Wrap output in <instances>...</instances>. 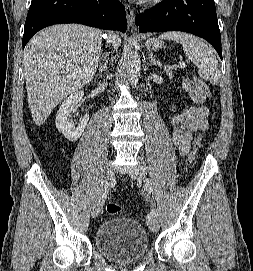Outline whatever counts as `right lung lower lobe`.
Listing matches in <instances>:
<instances>
[{"instance_id": "right-lung-lower-lobe-1", "label": "right lung lower lobe", "mask_w": 253, "mask_h": 271, "mask_svg": "<svg viewBox=\"0 0 253 271\" xmlns=\"http://www.w3.org/2000/svg\"><path fill=\"white\" fill-rule=\"evenodd\" d=\"M81 23L108 30L127 29L124 6L118 0H32L24 27L23 48L44 27Z\"/></svg>"}]
</instances>
